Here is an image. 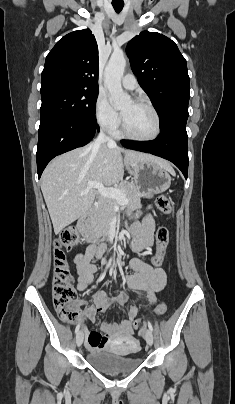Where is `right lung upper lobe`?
<instances>
[{
  "label": "right lung upper lobe",
  "mask_w": 235,
  "mask_h": 404,
  "mask_svg": "<svg viewBox=\"0 0 235 404\" xmlns=\"http://www.w3.org/2000/svg\"><path fill=\"white\" fill-rule=\"evenodd\" d=\"M98 46L90 29L60 39L46 57L41 85L65 83L98 90Z\"/></svg>",
  "instance_id": "1"
}]
</instances>
